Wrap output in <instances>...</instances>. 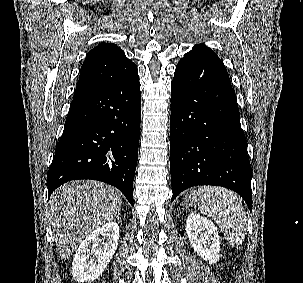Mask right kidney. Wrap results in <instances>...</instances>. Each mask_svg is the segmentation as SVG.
<instances>
[{
	"label": "right kidney",
	"mask_w": 303,
	"mask_h": 283,
	"mask_svg": "<svg viewBox=\"0 0 303 283\" xmlns=\"http://www.w3.org/2000/svg\"><path fill=\"white\" fill-rule=\"evenodd\" d=\"M119 226L106 223L89 234L76 250L72 263V277L80 283L98 279L117 249Z\"/></svg>",
	"instance_id": "obj_1"
}]
</instances>
